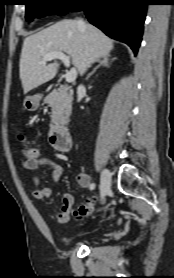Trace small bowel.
<instances>
[{
	"label": "small bowel",
	"instance_id": "c3829d8e",
	"mask_svg": "<svg viewBox=\"0 0 174 278\" xmlns=\"http://www.w3.org/2000/svg\"><path fill=\"white\" fill-rule=\"evenodd\" d=\"M42 166H48L52 169L53 185L50 187L37 188L39 181L38 178L33 175L32 183L35 186V189L32 192V196L36 200H43L45 198L51 197L57 190L59 179L63 173V168L58 163L48 157H43L40 154L34 159L23 160V168L28 171L37 170ZM77 183L80 187L90 190L91 185L93 184L91 176L85 172L78 174ZM73 204L74 198L72 194L66 193L62 200L61 209L57 214L56 219L58 223L63 224L69 221Z\"/></svg>",
	"mask_w": 174,
	"mask_h": 278
}]
</instances>
